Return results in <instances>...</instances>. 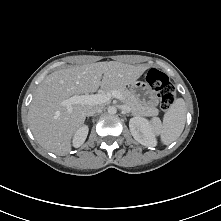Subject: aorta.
Returning a JSON list of instances; mask_svg holds the SVG:
<instances>
[{
    "label": "aorta",
    "mask_w": 221,
    "mask_h": 221,
    "mask_svg": "<svg viewBox=\"0 0 221 221\" xmlns=\"http://www.w3.org/2000/svg\"><path fill=\"white\" fill-rule=\"evenodd\" d=\"M116 112H117L116 107H114V106H109V108H108V113H109L110 115H114V114H116Z\"/></svg>",
    "instance_id": "762f6f07"
}]
</instances>
